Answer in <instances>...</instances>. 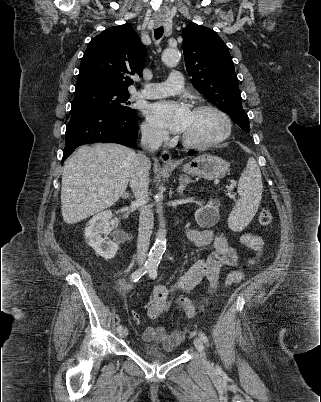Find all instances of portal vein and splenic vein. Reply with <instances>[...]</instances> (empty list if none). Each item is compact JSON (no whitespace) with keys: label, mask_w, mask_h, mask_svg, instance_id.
Returning a JSON list of instances; mask_svg holds the SVG:
<instances>
[{"label":"portal vein and splenic vein","mask_w":321,"mask_h":402,"mask_svg":"<svg viewBox=\"0 0 321 402\" xmlns=\"http://www.w3.org/2000/svg\"><path fill=\"white\" fill-rule=\"evenodd\" d=\"M233 188H234L233 185H230V186L227 188L228 195H229V197H231V198H234V197H235V195H233V194L230 193V191L233 190Z\"/></svg>","instance_id":"obj_1"}]
</instances>
